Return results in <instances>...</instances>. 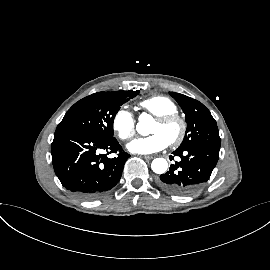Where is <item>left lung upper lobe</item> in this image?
<instances>
[{
    "mask_svg": "<svg viewBox=\"0 0 270 270\" xmlns=\"http://www.w3.org/2000/svg\"><path fill=\"white\" fill-rule=\"evenodd\" d=\"M185 113L187 129L179 148L197 144L220 147L221 140L215 119L199 101L186 95L170 92Z\"/></svg>",
    "mask_w": 270,
    "mask_h": 270,
    "instance_id": "obj_1",
    "label": "left lung upper lobe"
}]
</instances>
